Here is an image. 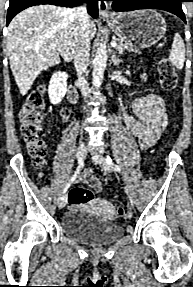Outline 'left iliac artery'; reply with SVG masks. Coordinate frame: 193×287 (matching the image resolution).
<instances>
[{
	"label": "left iliac artery",
	"instance_id": "1",
	"mask_svg": "<svg viewBox=\"0 0 193 287\" xmlns=\"http://www.w3.org/2000/svg\"><path fill=\"white\" fill-rule=\"evenodd\" d=\"M106 160L111 165L114 171L119 172V173L121 172L120 167L116 165L108 155L106 156ZM125 190H126V193L128 194V190L126 187H125Z\"/></svg>",
	"mask_w": 193,
	"mask_h": 287
}]
</instances>
